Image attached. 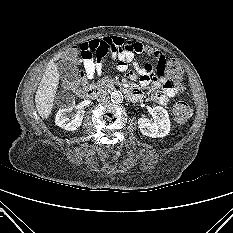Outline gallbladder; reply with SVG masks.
<instances>
[{
  "instance_id": "gallbladder-1",
  "label": "gallbladder",
  "mask_w": 233,
  "mask_h": 233,
  "mask_svg": "<svg viewBox=\"0 0 233 233\" xmlns=\"http://www.w3.org/2000/svg\"><path fill=\"white\" fill-rule=\"evenodd\" d=\"M57 70L61 79H75L78 76L77 66L69 60H60L57 64Z\"/></svg>"
}]
</instances>
